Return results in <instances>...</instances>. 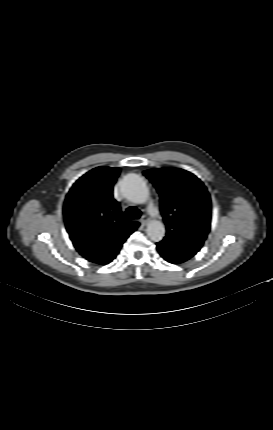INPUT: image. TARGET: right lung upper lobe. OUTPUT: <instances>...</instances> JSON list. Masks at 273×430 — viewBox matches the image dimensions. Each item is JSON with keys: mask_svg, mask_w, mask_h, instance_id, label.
I'll return each instance as SVG.
<instances>
[{"mask_svg": "<svg viewBox=\"0 0 273 430\" xmlns=\"http://www.w3.org/2000/svg\"><path fill=\"white\" fill-rule=\"evenodd\" d=\"M119 168L97 167L75 182L64 202V219L77 251L103 264L133 233L139 223L125 222L113 185Z\"/></svg>", "mask_w": 273, "mask_h": 430, "instance_id": "right-lung-upper-lobe-1", "label": "right lung upper lobe"}]
</instances>
